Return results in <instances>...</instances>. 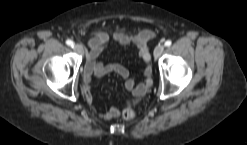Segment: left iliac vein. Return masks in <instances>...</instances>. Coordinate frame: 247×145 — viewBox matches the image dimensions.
Wrapping results in <instances>:
<instances>
[{
    "mask_svg": "<svg viewBox=\"0 0 247 145\" xmlns=\"http://www.w3.org/2000/svg\"><path fill=\"white\" fill-rule=\"evenodd\" d=\"M164 48H165L164 45L159 43L154 49V57L158 58L159 56H161V54L164 51Z\"/></svg>",
    "mask_w": 247,
    "mask_h": 145,
    "instance_id": "4c4485c4",
    "label": "left iliac vein"
}]
</instances>
